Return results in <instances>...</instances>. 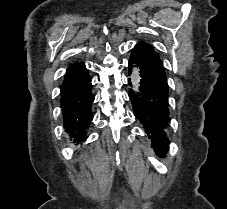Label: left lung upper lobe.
Here are the masks:
<instances>
[{
    "label": "left lung upper lobe",
    "mask_w": 227,
    "mask_h": 209,
    "mask_svg": "<svg viewBox=\"0 0 227 209\" xmlns=\"http://www.w3.org/2000/svg\"><path fill=\"white\" fill-rule=\"evenodd\" d=\"M135 47L139 48L142 52L146 53L153 60H155L158 63L162 64V61H161V59L159 57V54L154 51V48L152 47V45L146 44L144 42H140Z\"/></svg>",
    "instance_id": "left-lung-upper-lobe-1"
}]
</instances>
